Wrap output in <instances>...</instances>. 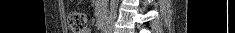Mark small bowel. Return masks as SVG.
<instances>
[{"label": "small bowel", "mask_w": 235, "mask_h": 33, "mask_svg": "<svg viewBox=\"0 0 235 33\" xmlns=\"http://www.w3.org/2000/svg\"><path fill=\"white\" fill-rule=\"evenodd\" d=\"M84 33H91L90 30H86Z\"/></svg>", "instance_id": "c3829d8e"}]
</instances>
